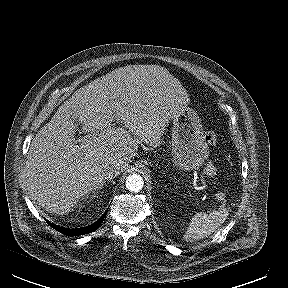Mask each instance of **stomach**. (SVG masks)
<instances>
[{
	"label": "stomach",
	"mask_w": 288,
	"mask_h": 288,
	"mask_svg": "<svg viewBox=\"0 0 288 288\" xmlns=\"http://www.w3.org/2000/svg\"><path fill=\"white\" fill-rule=\"evenodd\" d=\"M172 161L180 171L201 167L208 158L209 148L198 114L189 107H183L173 118Z\"/></svg>",
	"instance_id": "obj_1"
}]
</instances>
